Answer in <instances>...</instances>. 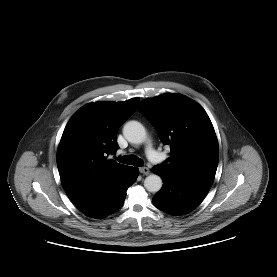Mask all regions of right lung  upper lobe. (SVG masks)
<instances>
[{
    "instance_id": "1",
    "label": "right lung upper lobe",
    "mask_w": 277,
    "mask_h": 277,
    "mask_svg": "<svg viewBox=\"0 0 277 277\" xmlns=\"http://www.w3.org/2000/svg\"><path fill=\"white\" fill-rule=\"evenodd\" d=\"M138 103V98L90 103L67 123L57 150V166L73 203L93 196L128 167L107 156L116 153L118 129Z\"/></svg>"
}]
</instances>
